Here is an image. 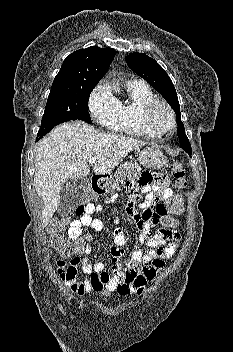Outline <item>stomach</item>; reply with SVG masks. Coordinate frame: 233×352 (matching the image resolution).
I'll return each instance as SVG.
<instances>
[{
	"label": "stomach",
	"mask_w": 233,
	"mask_h": 352,
	"mask_svg": "<svg viewBox=\"0 0 233 352\" xmlns=\"http://www.w3.org/2000/svg\"><path fill=\"white\" fill-rule=\"evenodd\" d=\"M139 162L150 169H160L167 164V159L164 154L155 148H146L139 153ZM110 182V181H108ZM109 183H106V191L109 190Z\"/></svg>",
	"instance_id": "obj_1"
}]
</instances>
